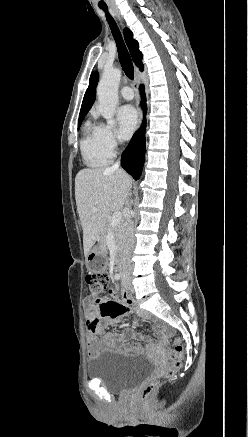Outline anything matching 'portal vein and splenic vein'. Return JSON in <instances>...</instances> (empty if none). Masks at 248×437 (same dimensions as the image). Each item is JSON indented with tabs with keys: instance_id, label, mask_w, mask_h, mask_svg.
Returning a JSON list of instances; mask_svg holds the SVG:
<instances>
[{
	"instance_id": "obj_1",
	"label": "portal vein and splenic vein",
	"mask_w": 248,
	"mask_h": 437,
	"mask_svg": "<svg viewBox=\"0 0 248 437\" xmlns=\"http://www.w3.org/2000/svg\"><path fill=\"white\" fill-rule=\"evenodd\" d=\"M93 211H94V212L97 211V208H94ZM121 218H122V214H121V212H119V211H115L114 214H113V216H112V219H111L110 225H111L112 227L117 226V225L120 223Z\"/></svg>"
}]
</instances>
